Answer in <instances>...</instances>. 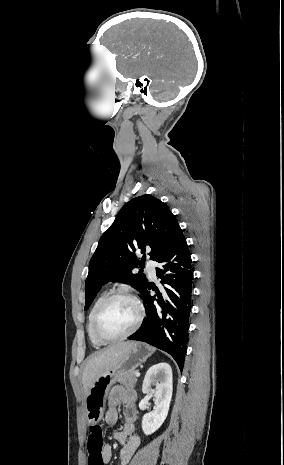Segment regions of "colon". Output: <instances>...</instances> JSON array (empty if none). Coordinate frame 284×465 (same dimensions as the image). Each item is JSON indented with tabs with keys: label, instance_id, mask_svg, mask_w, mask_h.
I'll use <instances>...</instances> for the list:
<instances>
[{
	"label": "colon",
	"instance_id": "colon-1",
	"mask_svg": "<svg viewBox=\"0 0 284 465\" xmlns=\"http://www.w3.org/2000/svg\"><path fill=\"white\" fill-rule=\"evenodd\" d=\"M88 444L87 451L89 452L87 463L88 465H103L101 459V451L104 445L102 439L105 436V428L103 425H94L92 429L88 431Z\"/></svg>",
	"mask_w": 284,
	"mask_h": 465
}]
</instances>
